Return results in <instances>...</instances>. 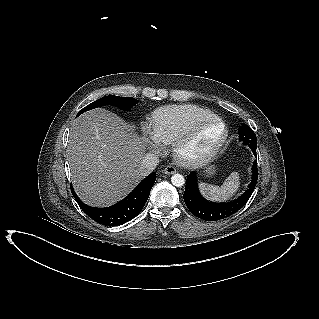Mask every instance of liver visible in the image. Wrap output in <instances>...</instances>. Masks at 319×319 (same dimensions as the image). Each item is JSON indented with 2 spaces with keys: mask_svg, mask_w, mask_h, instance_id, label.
I'll return each mask as SVG.
<instances>
[{
  "mask_svg": "<svg viewBox=\"0 0 319 319\" xmlns=\"http://www.w3.org/2000/svg\"><path fill=\"white\" fill-rule=\"evenodd\" d=\"M66 152L74 190L93 207L118 202L148 174L140 171L146 143L104 108L85 112L71 124Z\"/></svg>",
  "mask_w": 319,
  "mask_h": 319,
  "instance_id": "1",
  "label": "liver"
}]
</instances>
